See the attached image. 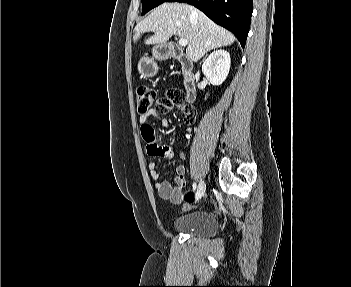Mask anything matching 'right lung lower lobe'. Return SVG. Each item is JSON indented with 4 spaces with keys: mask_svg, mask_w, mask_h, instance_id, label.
Instances as JSON below:
<instances>
[{
    "mask_svg": "<svg viewBox=\"0 0 351 287\" xmlns=\"http://www.w3.org/2000/svg\"><path fill=\"white\" fill-rule=\"evenodd\" d=\"M186 2L233 32L244 48L253 10L252 0H166Z\"/></svg>",
    "mask_w": 351,
    "mask_h": 287,
    "instance_id": "1",
    "label": "right lung lower lobe"
}]
</instances>
